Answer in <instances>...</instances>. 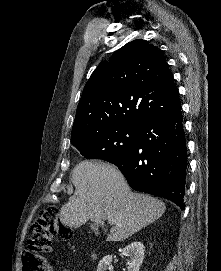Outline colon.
Wrapping results in <instances>:
<instances>
[{
    "mask_svg": "<svg viewBox=\"0 0 221 271\" xmlns=\"http://www.w3.org/2000/svg\"><path fill=\"white\" fill-rule=\"evenodd\" d=\"M72 234V229L61 222L56 206L44 207L33 223L32 236L21 251L22 271H52L51 263L44 252L50 250L56 235L68 238Z\"/></svg>",
    "mask_w": 221,
    "mask_h": 271,
    "instance_id": "colon-1",
    "label": "colon"
}]
</instances>
